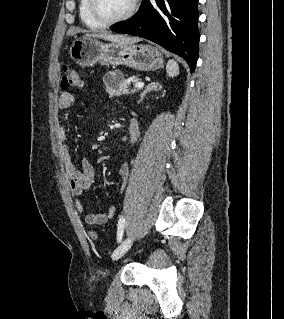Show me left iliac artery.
Segmentation results:
<instances>
[{"mask_svg":"<svg viewBox=\"0 0 284 319\" xmlns=\"http://www.w3.org/2000/svg\"><path fill=\"white\" fill-rule=\"evenodd\" d=\"M124 224H125V218L124 216H121L118 221V230H117V241L118 243L121 242L124 232Z\"/></svg>","mask_w":284,"mask_h":319,"instance_id":"44dca946","label":"left iliac artery"}]
</instances>
